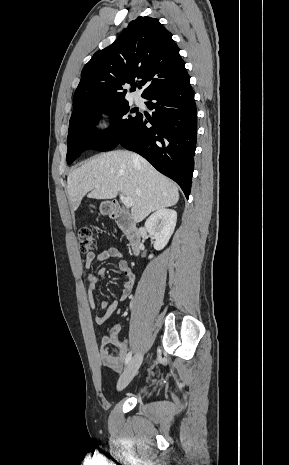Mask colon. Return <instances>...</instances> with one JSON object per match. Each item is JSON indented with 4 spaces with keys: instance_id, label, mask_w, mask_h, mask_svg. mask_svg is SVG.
<instances>
[{
    "instance_id": "5ec220e1",
    "label": "colon",
    "mask_w": 289,
    "mask_h": 465,
    "mask_svg": "<svg viewBox=\"0 0 289 465\" xmlns=\"http://www.w3.org/2000/svg\"><path fill=\"white\" fill-rule=\"evenodd\" d=\"M79 249L82 252L92 251L96 247V241L92 235V231L87 227H82L77 232Z\"/></svg>"
}]
</instances>
